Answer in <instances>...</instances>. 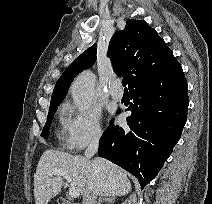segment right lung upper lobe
Segmentation results:
<instances>
[{
    "instance_id": "obj_1",
    "label": "right lung upper lobe",
    "mask_w": 212,
    "mask_h": 204,
    "mask_svg": "<svg viewBox=\"0 0 212 204\" xmlns=\"http://www.w3.org/2000/svg\"><path fill=\"white\" fill-rule=\"evenodd\" d=\"M96 50L94 44L69 65L54 87L51 104L61 103L74 77L94 64ZM108 56L114 71L127 77L129 90L181 67L164 40L144 20H127L125 29L112 36Z\"/></svg>"
}]
</instances>
